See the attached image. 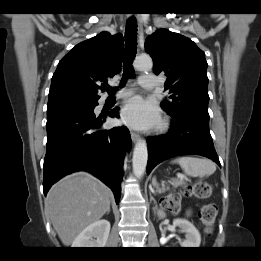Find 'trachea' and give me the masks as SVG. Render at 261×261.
I'll return each mask as SVG.
<instances>
[{"instance_id": "obj_1", "label": "trachea", "mask_w": 261, "mask_h": 261, "mask_svg": "<svg viewBox=\"0 0 261 261\" xmlns=\"http://www.w3.org/2000/svg\"><path fill=\"white\" fill-rule=\"evenodd\" d=\"M137 49V21L135 17H131L127 20L126 29H125V55L123 61V77L121 85L134 75V70L132 67L133 60L136 55ZM104 89L113 94L116 89L111 88L110 86H105Z\"/></svg>"}]
</instances>
